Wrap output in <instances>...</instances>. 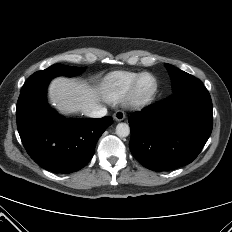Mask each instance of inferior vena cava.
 Wrapping results in <instances>:
<instances>
[{"instance_id":"inferior-vena-cava-1","label":"inferior vena cava","mask_w":232,"mask_h":232,"mask_svg":"<svg viewBox=\"0 0 232 232\" xmlns=\"http://www.w3.org/2000/svg\"><path fill=\"white\" fill-rule=\"evenodd\" d=\"M107 109L103 106L97 105L85 111V115L91 118H101L106 116Z\"/></svg>"}]
</instances>
